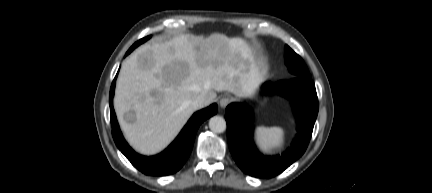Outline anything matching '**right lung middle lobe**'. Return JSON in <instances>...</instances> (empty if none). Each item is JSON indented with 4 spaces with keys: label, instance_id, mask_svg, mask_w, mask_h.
Returning <instances> with one entry per match:
<instances>
[{
    "label": "right lung middle lobe",
    "instance_id": "obj_1",
    "mask_svg": "<svg viewBox=\"0 0 432 193\" xmlns=\"http://www.w3.org/2000/svg\"><path fill=\"white\" fill-rule=\"evenodd\" d=\"M150 38V36L145 37L143 39H140L139 41H137L129 50L128 52H131L134 48H136L138 45H140L141 43L145 42L146 40H148Z\"/></svg>",
    "mask_w": 432,
    "mask_h": 193
}]
</instances>
